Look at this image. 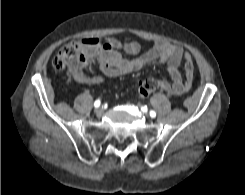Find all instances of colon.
I'll use <instances>...</instances> for the list:
<instances>
[{"mask_svg": "<svg viewBox=\"0 0 245 195\" xmlns=\"http://www.w3.org/2000/svg\"><path fill=\"white\" fill-rule=\"evenodd\" d=\"M53 66L58 70L67 69L75 78L84 76L90 67V60L85 53L84 46L71 42L65 44L53 59ZM160 87V81L151 76L140 82L138 92L141 97H147Z\"/></svg>", "mask_w": 245, "mask_h": 195, "instance_id": "colon-1", "label": "colon"}]
</instances>
